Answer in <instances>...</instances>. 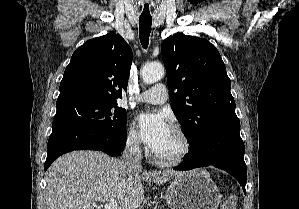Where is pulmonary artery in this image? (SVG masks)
<instances>
[{
  "instance_id": "obj_1",
  "label": "pulmonary artery",
  "mask_w": 299,
  "mask_h": 209,
  "mask_svg": "<svg viewBox=\"0 0 299 209\" xmlns=\"http://www.w3.org/2000/svg\"><path fill=\"white\" fill-rule=\"evenodd\" d=\"M168 99V90L164 84H156L135 97L137 102L163 104Z\"/></svg>"
}]
</instances>
